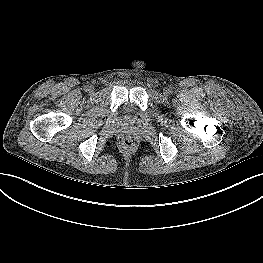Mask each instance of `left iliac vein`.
Instances as JSON below:
<instances>
[{
    "mask_svg": "<svg viewBox=\"0 0 263 263\" xmlns=\"http://www.w3.org/2000/svg\"><path fill=\"white\" fill-rule=\"evenodd\" d=\"M163 93H164V95H169L170 93H171V90L170 89H168V88H165L164 90H163Z\"/></svg>",
    "mask_w": 263,
    "mask_h": 263,
    "instance_id": "left-iliac-vein-1",
    "label": "left iliac vein"
}]
</instances>
